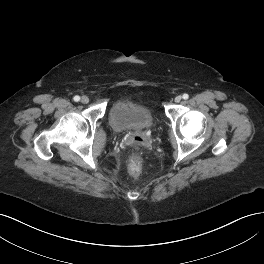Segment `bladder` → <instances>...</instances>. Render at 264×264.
<instances>
[{
  "label": "bladder",
  "instance_id": "obj_1",
  "mask_svg": "<svg viewBox=\"0 0 264 264\" xmlns=\"http://www.w3.org/2000/svg\"><path fill=\"white\" fill-rule=\"evenodd\" d=\"M109 122L115 131L123 132L151 128L154 117L146 105L131 99H120L109 109Z\"/></svg>",
  "mask_w": 264,
  "mask_h": 264
}]
</instances>
